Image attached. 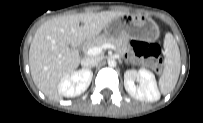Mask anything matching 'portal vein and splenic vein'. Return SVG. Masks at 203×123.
Here are the masks:
<instances>
[{
    "label": "portal vein and splenic vein",
    "mask_w": 203,
    "mask_h": 123,
    "mask_svg": "<svg viewBox=\"0 0 203 123\" xmlns=\"http://www.w3.org/2000/svg\"><path fill=\"white\" fill-rule=\"evenodd\" d=\"M106 48H114V46L110 43H104L101 46H95V47L90 48L88 50V54L97 55L102 51V49H106Z\"/></svg>",
    "instance_id": "18ae733b"
}]
</instances>
